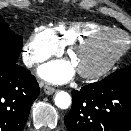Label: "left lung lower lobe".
<instances>
[{
	"instance_id": "left-lung-lower-lobe-1",
	"label": "left lung lower lobe",
	"mask_w": 131,
	"mask_h": 131,
	"mask_svg": "<svg viewBox=\"0 0 131 131\" xmlns=\"http://www.w3.org/2000/svg\"><path fill=\"white\" fill-rule=\"evenodd\" d=\"M64 122L69 131L131 130V81L103 79L73 90Z\"/></svg>"
}]
</instances>
